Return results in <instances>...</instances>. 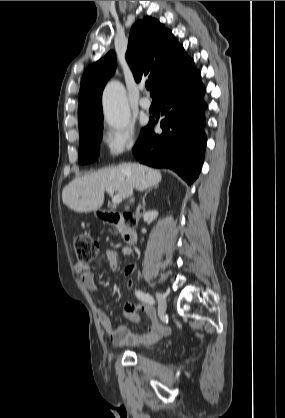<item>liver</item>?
<instances>
[{
    "label": "liver",
    "mask_w": 285,
    "mask_h": 418,
    "mask_svg": "<svg viewBox=\"0 0 285 418\" xmlns=\"http://www.w3.org/2000/svg\"><path fill=\"white\" fill-rule=\"evenodd\" d=\"M161 179L158 170L138 163H121L73 180L63 189L62 200L75 212H91L102 207L108 188L126 199L134 189L144 191L157 186Z\"/></svg>",
    "instance_id": "6515ba94"
}]
</instances>
